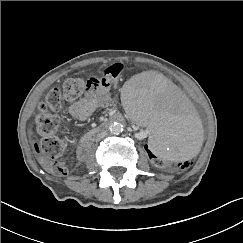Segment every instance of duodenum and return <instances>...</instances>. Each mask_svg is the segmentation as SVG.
<instances>
[{"instance_id": "1", "label": "duodenum", "mask_w": 243, "mask_h": 243, "mask_svg": "<svg viewBox=\"0 0 243 243\" xmlns=\"http://www.w3.org/2000/svg\"><path fill=\"white\" fill-rule=\"evenodd\" d=\"M122 116L115 114L111 117L110 122L121 121ZM89 149V143L87 141L82 142L77 149V154L80 158H85Z\"/></svg>"}]
</instances>
